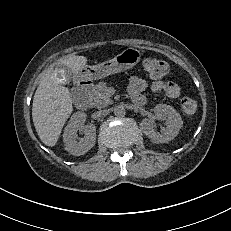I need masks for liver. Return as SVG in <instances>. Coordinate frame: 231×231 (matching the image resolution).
I'll return each mask as SVG.
<instances>
[{
    "mask_svg": "<svg viewBox=\"0 0 231 231\" xmlns=\"http://www.w3.org/2000/svg\"><path fill=\"white\" fill-rule=\"evenodd\" d=\"M87 58L71 56L60 62L73 74L85 67ZM73 111L72 99L67 87L58 84L54 72H48L40 82L32 104V119L41 141L47 146H55L62 128Z\"/></svg>",
    "mask_w": 231,
    "mask_h": 231,
    "instance_id": "1",
    "label": "liver"
}]
</instances>
